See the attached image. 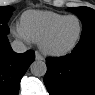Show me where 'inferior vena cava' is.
I'll use <instances>...</instances> for the list:
<instances>
[{"label":"inferior vena cava","mask_w":95,"mask_h":95,"mask_svg":"<svg viewBox=\"0 0 95 95\" xmlns=\"http://www.w3.org/2000/svg\"><path fill=\"white\" fill-rule=\"evenodd\" d=\"M11 47L12 50L16 53H24L27 51V47L25 46V44L17 39L11 43Z\"/></svg>","instance_id":"1"}]
</instances>
